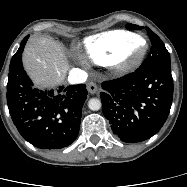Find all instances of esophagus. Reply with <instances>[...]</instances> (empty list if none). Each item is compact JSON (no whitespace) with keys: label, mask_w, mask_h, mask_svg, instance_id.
<instances>
[{"label":"esophagus","mask_w":187,"mask_h":187,"mask_svg":"<svg viewBox=\"0 0 187 187\" xmlns=\"http://www.w3.org/2000/svg\"><path fill=\"white\" fill-rule=\"evenodd\" d=\"M87 90L90 94H95L98 92L99 88L98 86L96 85V83L94 82H89L88 85H87Z\"/></svg>","instance_id":"1"}]
</instances>
